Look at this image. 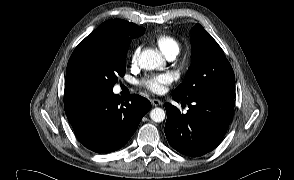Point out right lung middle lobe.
<instances>
[{
    "label": "right lung middle lobe",
    "instance_id": "obj_1",
    "mask_svg": "<svg viewBox=\"0 0 294 180\" xmlns=\"http://www.w3.org/2000/svg\"><path fill=\"white\" fill-rule=\"evenodd\" d=\"M129 44L119 38L81 41L68 61L64 96L112 91L125 74Z\"/></svg>",
    "mask_w": 294,
    "mask_h": 180
}]
</instances>
